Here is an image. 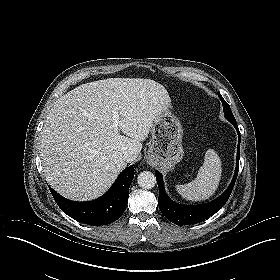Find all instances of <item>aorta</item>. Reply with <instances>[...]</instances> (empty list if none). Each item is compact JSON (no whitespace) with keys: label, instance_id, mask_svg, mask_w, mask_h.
<instances>
[{"label":"aorta","instance_id":"1","mask_svg":"<svg viewBox=\"0 0 280 280\" xmlns=\"http://www.w3.org/2000/svg\"><path fill=\"white\" fill-rule=\"evenodd\" d=\"M137 182L143 189H152L156 185V177L152 172L144 171L138 175Z\"/></svg>","mask_w":280,"mask_h":280}]
</instances>
